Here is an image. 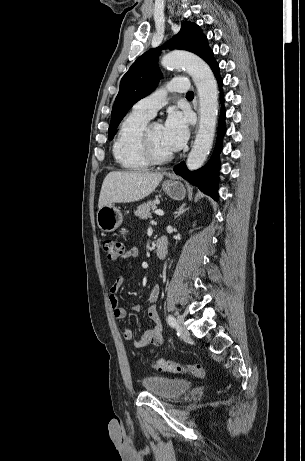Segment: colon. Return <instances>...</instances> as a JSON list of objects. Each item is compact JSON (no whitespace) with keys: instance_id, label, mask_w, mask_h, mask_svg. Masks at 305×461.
Listing matches in <instances>:
<instances>
[{"instance_id":"colon-1","label":"colon","mask_w":305,"mask_h":461,"mask_svg":"<svg viewBox=\"0 0 305 461\" xmlns=\"http://www.w3.org/2000/svg\"><path fill=\"white\" fill-rule=\"evenodd\" d=\"M103 250L110 260H117L124 254V244L115 239H105L102 244ZM151 367L160 372L186 373L197 378H203L206 374L201 364L184 365L170 360L157 359L150 362Z\"/></svg>"}]
</instances>
